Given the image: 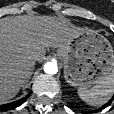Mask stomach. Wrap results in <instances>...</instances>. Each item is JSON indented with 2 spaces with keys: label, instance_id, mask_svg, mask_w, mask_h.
Masks as SVG:
<instances>
[{
  "label": "stomach",
  "instance_id": "obj_1",
  "mask_svg": "<svg viewBox=\"0 0 114 114\" xmlns=\"http://www.w3.org/2000/svg\"><path fill=\"white\" fill-rule=\"evenodd\" d=\"M64 78L71 86L87 88L114 71V50L101 34L86 30L57 51Z\"/></svg>",
  "mask_w": 114,
  "mask_h": 114
}]
</instances>
